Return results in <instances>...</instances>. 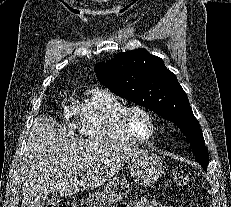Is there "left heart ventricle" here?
I'll list each match as a JSON object with an SVG mask.
<instances>
[{"instance_id":"1","label":"left heart ventricle","mask_w":231,"mask_h":207,"mask_svg":"<svg viewBox=\"0 0 231 207\" xmlns=\"http://www.w3.org/2000/svg\"><path fill=\"white\" fill-rule=\"evenodd\" d=\"M133 130L141 137H147L151 132V123L147 115L141 111H133L129 116Z\"/></svg>"}]
</instances>
